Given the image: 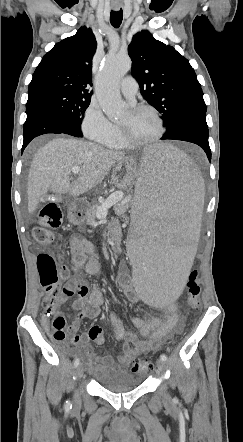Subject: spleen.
I'll list each match as a JSON object with an SVG mask.
<instances>
[{"mask_svg": "<svg viewBox=\"0 0 243 442\" xmlns=\"http://www.w3.org/2000/svg\"><path fill=\"white\" fill-rule=\"evenodd\" d=\"M140 154L131 210V219L138 220L127 242V258L134 263L132 286L135 296H145L148 307H170L182 296L192 266L205 179L193 161L171 145L141 147Z\"/></svg>", "mask_w": 243, "mask_h": 442, "instance_id": "3e777b00", "label": "spleen"}]
</instances>
